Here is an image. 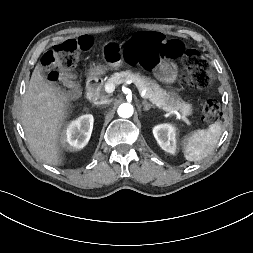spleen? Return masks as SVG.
Returning <instances> with one entry per match:
<instances>
[{"instance_id": "1", "label": "spleen", "mask_w": 253, "mask_h": 253, "mask_svg": "<svg viewBox=\"0 0 253 253\" xmlns=\"http://www.w3.org/2000/svg\"><path fill=\"white\" fill-rule=\"evenodd\" d=\"M222 134V123L215 122L207 130H199L183 139V153L188 161H200L216 147Z\"/></svg>"}]
</instances>
